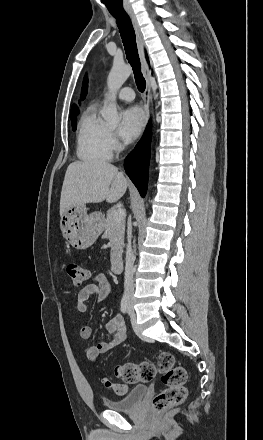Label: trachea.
<instances>
[{
    "label": "trachea",
    "mask_w": 263,
    "mask_h": 440,
    "mask_svg": "<svg viewBox=\"0 0 263 440\" xmlns=\"http://www.w3.org/2000/svg\"><path fill=\"white\" fill-rule=\"evenodd\" d=\"M110 13L116 18L128 62L131 64L134 71L137 88L140 92H144L146 88V81L141 73V64L136 46L135 31L130 17L124 11H111Z\"/></svg>",
    "instance_id": "3493384b"
}]
</instances>
